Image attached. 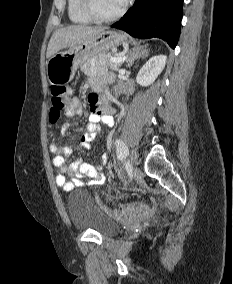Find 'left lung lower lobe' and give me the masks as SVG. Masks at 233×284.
I'll list each match as a JSON object with an SVG mask.
<instances>
[{"label": "left lung lower lobe", "mask_w": 233, "mask_h": 284, "mask_svg": "<svg viewBox=\"0 0 233 284\" xmlns=\"http://www.w3.org/2000/svg\"><path fill=\"white\" fill-rule=\"evenodd\" d=\"M183 0H135L134 5L113 28L133 37H157L175 48L182 19Z\"/></svg>", "instance_id": "0a47b994"}]
</instances>
